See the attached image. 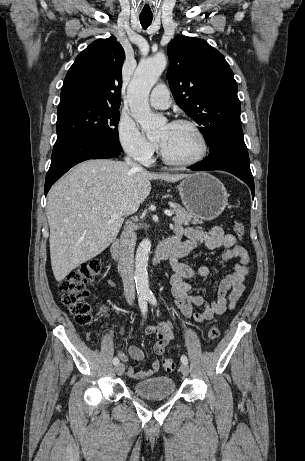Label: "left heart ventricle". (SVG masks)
Masks as SVG:
<instances>
[{
  "label": "left heart ventricle",
  "mask_w": 305,
  "mask_h": 461,
  "mask_svg": "<svg viewBox=\"0 0 305 461\" xmlns=\"http://www.w3.org/2000/svg\"><path fill=\"white\" fill-rule=\"evenodd\" d=\"M158 141L168 156L175 160L193 159L201 150L198 136L186 125H165L159 133Z\"/></svg>",
  "instance_id": "obj_1"
}]
</instances>
